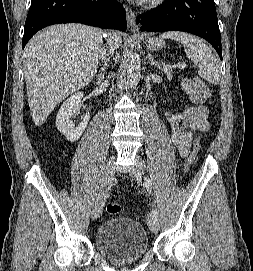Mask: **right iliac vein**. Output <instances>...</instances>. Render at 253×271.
I'll return each instance as SVG.
<instances>
[{"mask_svg":"<svg viewBox=\"0 0 253 271\" xmlns=\"http://www.w3.org/2000/svg\"><path fill=\"white\" fill-rule=\"evenodd\" d=\"M115 156L112 157V161L109 162V164L107 165L103 178H102V183L99 189V193L97 196V199L93 205V209L91 212V218L93 220L97 219L99 214L101 213L104 204H105V199L107 196V191L109 189V187L111 186L113 179H114V171H115V167L113 164V160H114Z\"/></svg>","mask_w":253,"mask_h":271,"instance_id":"1","label":"right iliac vein"}]
</instances>
